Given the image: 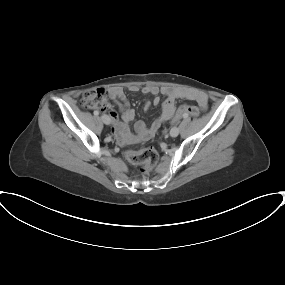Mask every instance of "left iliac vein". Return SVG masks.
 <instances>
[{"label": "left iliac vein", "instance_id": "4c4485c4", "mask_svg": "<svg viewBox=\"0 0 285 285\" xmlns=\"http://www.w3.org/2000/svg\"><path fill=\"white\" fill-rule=\"evenodd\" d=\"M178 134H179V128L176 126L172 127L170 130V136L176 137L178 136Z\"/></svg>", "mask_w": 285, "mask_h": 285}]
</instances>
